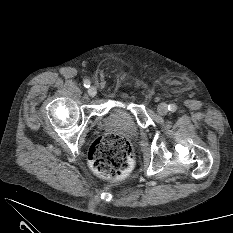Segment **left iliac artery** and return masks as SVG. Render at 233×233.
I'll return each mask as SVG.
<instances>
[{"instance_id": "obj_1", "label": "left iliac artery", "mask_w": 233, "mask_h": 233, "mask_svg": "<svg viewBox=\"0 0 233 233\" xmlns=\"http://www.w3.org/2000/svg\"><path fill=\"white\" fill-rule=\"evenodd\" d=\"M169 111L175 112L177 110V106L175 104H170L168 106Z\"/></svg>"}]
</instances>
